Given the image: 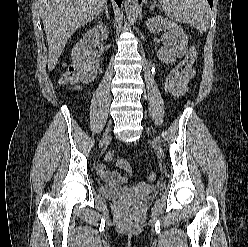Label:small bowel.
<instances>
[{
  "mask_svg": "<svg viewBox=\"0 0 248 247\" xmlns=\"http://www.w3.org/2000/svg\"><path fill=\"white\" fill-rule=\"evenodd\" d=\"M193 76H194V71L190 69L183 77L182 83H181V86H180V89L177 95L184 94L187 91L188 82L193 78ZM97 173L104 182L111 183V184L125 183L128 179L127 176L122 175L118 172L108 171L104 164H99L97 166Z\"/></svg>",
  "mask_w": 248,
  "mask_h": 247,
  "instance_id": "obj_1",
  "label": "small bowel"
}]
</instances>
